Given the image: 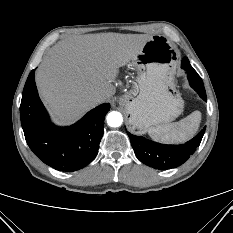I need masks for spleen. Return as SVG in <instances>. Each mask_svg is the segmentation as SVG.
I'll use <instances>...</instances> for the list:
<instances>
[{
  "label": "spleen",
  "instance_id": "1",
  "mask_svg": "<svg viewBox=\"0 0 233 233\" xmlns=\"http://www.w3.org/2000/svg\"><path fill=\"white\" fill-rule=\"evenodd\" d=\"M201 112L194 111L179 122L159 125L148 129L149 136L159 142L179 144L191 139L198 131Z\"/></svg>",
  "mask_w": 233,
  "mask_h": 233
}]
</instances>
